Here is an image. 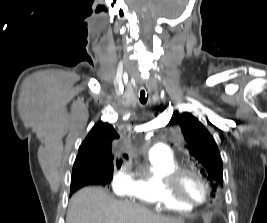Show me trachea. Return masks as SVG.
<instances>
[{"label":"trachea","instance_id":"1","mask_svg":"<svg viewBox=\"0 0 267 223\" xmlns=\"http://www.w3.org/2000/svg\"><path fill=\"white\" fill-rule=\"evenodd\" d=\"M139 100L142 104H145L148 100V94H146L145 87H141L139 91Z\"/></svg>","mask_w":267,"mask_h":223}]
</instances>
